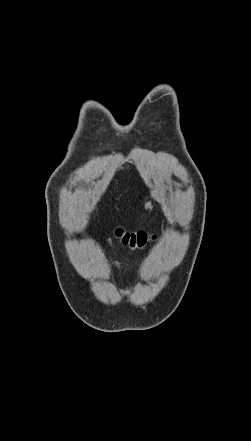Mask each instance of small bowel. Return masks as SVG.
I'll return each mask as SVG.
<instances>
[{
    "label": "small bowel",
    "instance_id": "small-bowel-1",
    "mask_svg": "<svg viewBox=\"0 0 251 441\" xmlns=\"http://www.w3.org/2000/svg\"><path fill=\"white\" fill-rule=\"evenodd\" d=\"M111 270L112 272H116L118 270V262L117 261H112L110 264Z\"/></svg>",
    "mask_w": 251,
    "mask_h": 441
}]
</instances>
